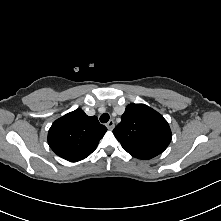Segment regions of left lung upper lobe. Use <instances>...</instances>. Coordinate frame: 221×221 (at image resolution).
Segmentation results:
<instances>
[{
  "instance_id": "1",
  "label": "left lung upper lobe",
  "mask_w": 221,
  "mask_h": 221,
  "mask_svg": "<svg viewBox=\"0 0 221 221\" xmlns=\"http://www.w3.org/2000/svg\"><path fill=\"white\" fill-rule=\"evenodd\" d=\"M113 133L124 150L138 159L161 154L171 141V130L161 114L144 104H129Z\"/></svg>"
}]
</instances>
